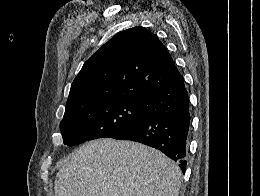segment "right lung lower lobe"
Instances as JSON below:
<instances>
[{
	"label": "right lung lower lobe",
	"instance_id": "right-lung-lower-lobe-1",
	"mask_svg": "<svg viewBox=\"0 0 260 196\" xmlns=\"http://www.w3.org/2000/svg\"><path fill=\"white\" fill-rule=\"evenodd\" d=\"M138 102L147 117L113 138L156 148L178 162L185 173L191 116L183 77Z\"/></svg>",
	"mask_w": 260,
	"mask_h": 196
}]
</instances>
